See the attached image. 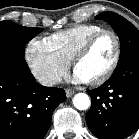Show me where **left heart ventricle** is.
<instances>
[{
    "instance_id": "1",
    "label": "left heart ventricle",
    "mask_w": 139,
    "mask_h": 139,
    "mask_svg": "<svg viewBox=\"0 0 139 139\" xmlns=\"http://www.w3.org/2000/svg\"><path fill=\"white\" fill-rule=\"evenodd\" d=\"M115 53L114 40L110 35L102 36L91 50L77 63L76 70L90 81L100 77L109 67Z\"/></svg>"
}]
</instances>
